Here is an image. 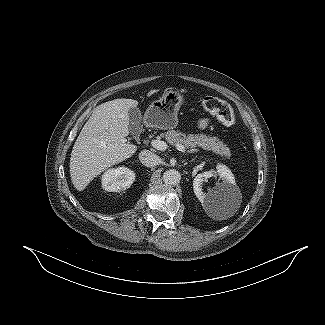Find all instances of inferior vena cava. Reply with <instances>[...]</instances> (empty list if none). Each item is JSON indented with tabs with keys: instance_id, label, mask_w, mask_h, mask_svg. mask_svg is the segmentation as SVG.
<instances>
[{
	"instance_id": "inferior-vena-cava-1",
	"label": "inferior vena cava",
	"mask_w": 325,
	"mask_h": 325,
	"mask_svg": "<svg viewBox=\"0 0 325 325\" xmlns=\"http://www.w3.org/2000/svg\"><path fill=\"white\" fill-rule=\"evenodd\" d=\"M139 160L147 167H154L158 165L160 158L149 150H143L139 153Z\"/></svg>"
}]
</instances>
